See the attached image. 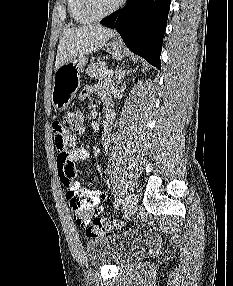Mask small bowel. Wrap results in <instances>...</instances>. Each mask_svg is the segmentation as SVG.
<instances>
[{
	"label": "small bowel",
	"instance_id": "small-bowel-1",
	"mask_svg": "<svg viewBox=\"0 0 233 286\" xmlns=\"http://www.w3.org/2000/svg\"><path fill=\"white\" fill-rule=\"evenodd\" d=\"M97 94L101 97L106 105V114L112 111L110 107V86L106 83L97 85H87L80 93V99L85 100L91 95ZM107 124L108 121H106ZM55 134V145L58 151L56 158V165L60 181L67 193L70 191L75 192L82 201V209L87 214V220H80L74 215L76 222L79 225H86L92 213H98L102 210L100 202L106 198V193L101 188L85 189L82 188L80 180L76 178L77 167L88 159L87 150L79 145L78 139L75 135L71 134L68 130L60 127L59 123L53 125ZM109 129H105L103 136V147L106 149L109 145Z\"/></svg>",
	"mask_w": 233,
	"mask_h": 286
}]
</instances>
